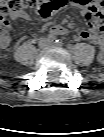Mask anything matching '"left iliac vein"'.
I'll use <instances>...</instances> for the list:
<instances>
[{
	"label": "left iliac vein",
	"instance_id": "1",
	"mask_svg": "<svg viewBox=\"0 0 104 137\" xmlns=\"http://www.w3.org/2000/svg\"><path fill=\"white\" fill-rule=\"evenodd\" d=\"M51 46L57 45L55 42L50 41L49 43Z\"/></svg>",
	"mask_w": 104,
	"mask_h": 137
}]
</instances>
